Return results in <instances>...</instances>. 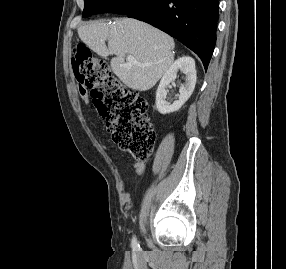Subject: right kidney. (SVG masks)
Instances as JSON below:
<instances>
[{
	"label": "right kidney",
	"mask_w": 286,
	"mask_h": 269,
	"mask_svg": "<svg viewBox=\"0 0 286 269\" xmlns=\"http://www.w3.org/2000/svg\"><path fill=\"white\" fill-rule=\"evenodd\" d=\"M178 71L185 74V83L180 86L179 99L172 104L165 100L166 87L176 79ZM196 84L195 61L189 56L177 59L163 75L156 91V108L161 114L178 111L192 95Z\"/></svg>",
	"instance_id": "ca27d5eb"
}]
</instances>
